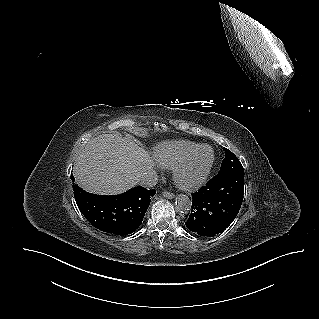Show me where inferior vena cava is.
I'll return each instance as SVG.
<instances>
[{"mask_svg":"<svg viewBox=\"0 0 319 319\" xmlns=\"http://www.w3.org/2000/svg\"><path fill=\"white\" fill-rule=\"evenodd\" d=\"M158 176L154 170L144 173L140 178V184L144 187H154L157 184Z\"/></svg>","mask_w":319,"mask_h":319,"instance_id":"inferior-vena-cava-1","label":"inferior vena cava"}]
</instances>
